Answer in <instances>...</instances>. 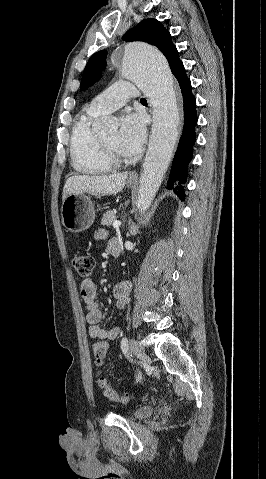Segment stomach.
Returning a JSON list of instances; mask_svg holds the SVG:
<instances>
[{
    "label": "stomach",
    "mask_w": 266,
    "mask_h": 479,
    "mask_svg": "<svg viewBox=\"0 0 266 479\" xmlns=\"http://www.w3.org/2000/svg\"><path fill=\"white\" fill-rule=\"evenodd\" d=\"M127 184L133 188L136 182L128 180ZM61 217L62 224L67 230L75 233L85 231L94 222V204L90 197L84 193L70 194L63 200Z\"/></svg>",
    "instance_id": "obj_1"
}]
</instances>
